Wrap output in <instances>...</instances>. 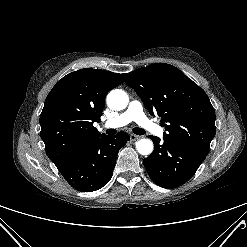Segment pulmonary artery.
Here are the masks:
<instances>
[{"instance_id": "obj_1", "label": "pulmonary artery", "mask_w": 247, "mask_h": 247, "mask_svg": "<svg viewBox=\"0 0 247 247\" xmlns=\"http://www.w3.org/2000/svg\"><path fill=\"white\" fill-rule=\"evenodd\" d=\"M132 121L156 136L163 135V129L145 115L141 103L137 100L131 101L126 111L113 119L107 120L103 126L105 128H119Z\"/></svg>"}]
</instances>
